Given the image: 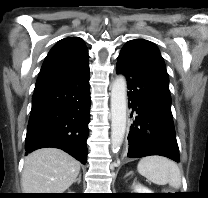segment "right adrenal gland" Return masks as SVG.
Instances as JSON below:
<instances>
[{
    "mask_svg": "<svg viewBox=\"0 0 208 198\" xmlns=\"http://www.w3.org/2000/svg\"><path fill=\"white\" fill-rule=\"evenodd\" d=\"M75 182H77L78 184H80V182H81V174H79V177L76 179Z\"/></svg>",
    "mask_w": 208,
    "mask_h": 198,
    "instance_id": "2a0ac1e0",
    "label": "right adrenal gland"
}]
</instances>
